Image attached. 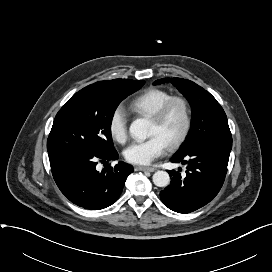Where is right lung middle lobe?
I'll return each instance as SVG.
<instances>
[{
  "mask_svg": "<svg viewBox=\"0 0 272 272\" xmlns=\"http://www.w3.org/2000/svg\"><path fill=\"white\" fill-rule=\"evenodd\" d=\"M145 81L119 79L103 87L89 85L74 94L57 113L47 140L49 159L65 153L110 154L115 151L111 123L119 103Z\"/></svg>",
  "mask_w": 272,
  "mask_h": 272,
  "instance_id": "right-lung-middle-lobe-1",
  "label": "right lung middle lobe"
}]
</instances>
